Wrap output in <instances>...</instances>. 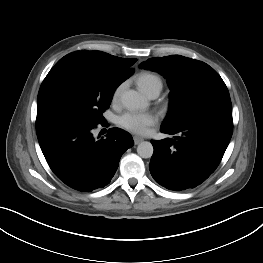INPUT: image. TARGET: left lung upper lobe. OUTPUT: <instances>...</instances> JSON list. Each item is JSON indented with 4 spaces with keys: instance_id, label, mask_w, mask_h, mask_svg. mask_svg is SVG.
<instances>
[{
    "instance_id": "left-lung-upper-lobe-1",
    "label": "left lung upper lobe",
    "mask_w": 263,
    "mask_h": 263,
    "mask_svg": "<svg viewBox=\"0 0 263 263\" xmlns=\"http://www.w3.org/2000/svg\"><path fill=\"white\" fill-rule=\"evenodd\" d=\"M140 68L156 71L168 81L170 107L162 126L172 128L214 115L232 120L228 89L206 63L172 55L150 58Z\"/></svg>"
}]
</instances>
